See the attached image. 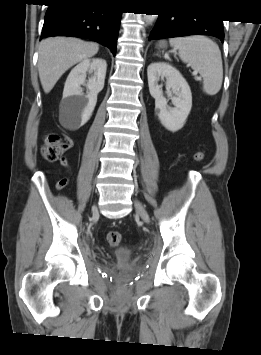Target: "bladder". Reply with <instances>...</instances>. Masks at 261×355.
Returning a JSON list of instances; mask_svg holds the SVG:
<instances>
[{
	"mask_svg": "<svg viewBox=\"0 0 261 355\" xmlns=\"http://www.w3.org/2000/svg\"><path fill=\"white\" fill-rule=\"evenodd\" d=\"M115 257L119 268L121 269H128L133 262L132 252L128 248L119 249L116 252Z\"/></svg>",
	"mask_w": 261,
	"mask_h": 355,
	"instance_id": "bladder-1",
	"label": "bladder"
}]
</instances>
